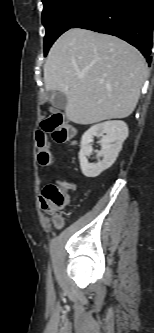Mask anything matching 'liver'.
<instances>
[{"label":"liver","instance_id":"liver-1","mask_svg":"<svg viewBox=\"0 0 154 333\" xmlns=\"http://www.w3.org/2000/svg\"><path fill=\"white\" fill-rule=\"evenodd\" d=\"M146 77V61L135 47L80 28L56 40L44 65L45 89L64 93L66 117L81 125L131 115Z\"/></svg>","mask_w":154,"mask_h":333}]
</instances>
